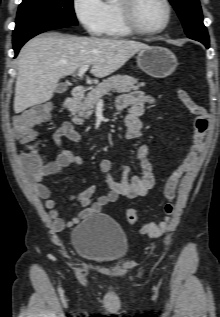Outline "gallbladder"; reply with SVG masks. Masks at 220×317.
<instances>
[{"instance_id":"1","label":"gallbladder","mask_w":220,"mask_h":317,"mask_svg":"<svg viewBox=\"0 0 220 317\" xmlns=\"http://www.w3.org/2000/svg\"><path fill=\"white\" fill-rule=\"evenodd\" d=\"M68 89V85L66 83H60L58 86L55 88L56 93H64Z\"/></svg>"}]
</instances>
